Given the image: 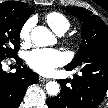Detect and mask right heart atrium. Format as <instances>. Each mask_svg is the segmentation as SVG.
<instances>
[{"label": "right heart atrium", "instance_id": "right-heart-atrium-1", "mask_svg": "<svg viewBox=\"0 0 108 108\" xmlns=\"http://www.w3.org/2000/svg\"><path fill=\"white\" fill-rule=\"evenodd\" d=\"M32 27H33V20H28L21 27L19 37L20 41L23 44H26L30 41Z\"/></svg>", "mask_w": 108, "mask_h": 108}]
</instances>
